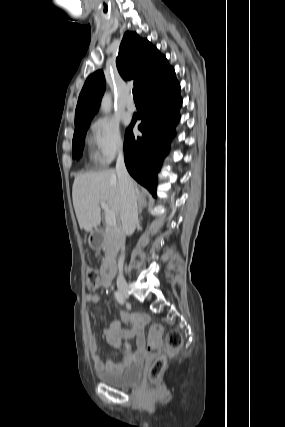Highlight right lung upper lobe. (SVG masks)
I'll return each mask as SVG.
<instances>
[{
  "label": "right lung upper lobe",
  "instance_id": "right-lung-upper-lobe-1",
  "mask_svg": "<svg viewBox=\"0 0 285 427\" xmlns=\"http://www.w3.org/2000/svg\"><path fill=\"white\" fill-rule=\"evenodd\" d=\"M116 65L123 79H134L139 92L153 79L163 74L169 63L156 47L136 33L127 31L120 44ZM105 91L102 71L92 73L86 80L78 98L75 129L90 123L97 112Z\"/></svg>",
  "mask_w": 285,
  "mask_h": 427
}]
</instances>
